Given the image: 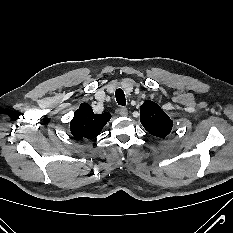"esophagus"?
Instances as JSON below:
<instances>
[{
  "label": "esophagus",
  "mask_w": 233,
  "mask_h": 233,
  "mask_svg": "<svg viewBox=\"0 0 233 233\" xmlns=\"http://www.w3.org/2000/svg\"><path fill=\"white\" fill-rule=\"evenodd\" d=\"M119 114H120L121 116H127V115H128V110H127V108H126V107H121V108H119Z\"/></svg>",
  "instance_id": "esophagus-1"
}]
</instances>
